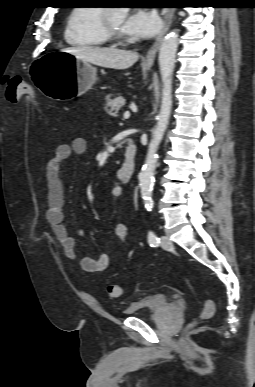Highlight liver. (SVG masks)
<instances>
[{"instance_id":"1","label":"liver","mask_w":255,"mask_h":387,"mask_svg":"<svg viewBox=\"0 0 255 387\" xmlns=\"http://www.w3.org/2000/svg\"><path fill=\"white\" fill-rule=\"evenodd\" d=\"M61 51L71 53L84 62L116 70L128 69L139 59L136 52L116 48L81 46Z\"/></svg>"}]
</instances>
